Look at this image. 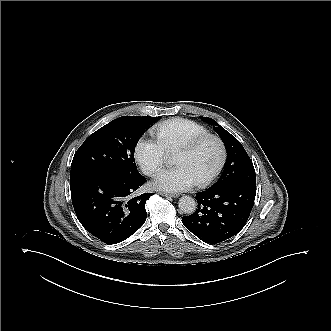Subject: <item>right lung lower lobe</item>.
I'll use <instances>...</instances> for the list:
<instances>
[{"label":"right lung lower lobe","instance_id":"98d812e1","mask_svg":"<svg viewBox=\"0 0 331 331\" xmlns=\"http://www.w3.org/2000/svg\"><path fill=\"white\" fill-rule=\"evenodd\" d=\"M70 182L79 221L101 241L107 244L122 242L145 222V204L154 193L131 195L146 182L142 175L126 181L108 172L89 171ZM121 199L126 201L120 202Z\"/></svg>","mask_w":331,"mask_h":331}]
</instances>
